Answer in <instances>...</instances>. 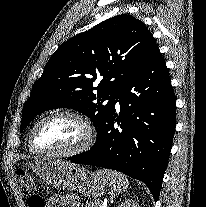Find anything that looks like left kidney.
<instances>
[{"label":"left kidney","mask_w":206,"mask_h":207,"mask_svg":"<svg viewBox=\"0 0 206 207\" xmlns=\"http://www.w3.org/2000/svg\"><path fill=\"white\" fill-rule=\"evenodd\" d=\"M118 207H140L139 204L132 199L125 200Z\"/></svg>","instance_id":"5707ae66"}]
</instances>
